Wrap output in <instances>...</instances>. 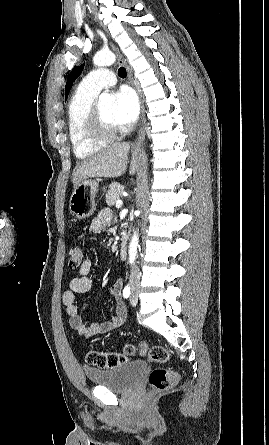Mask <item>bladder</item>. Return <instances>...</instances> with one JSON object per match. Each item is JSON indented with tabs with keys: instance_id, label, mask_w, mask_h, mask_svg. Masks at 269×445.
Wrapping results in <instances>:
<instances>
[{
	"instance_id": "31cf9c89",
	"label": "bladder",
	"mask_w": 269,
	"mask_h": 445,
	"mask_svg": "<svg viewBox=\"0 0 269 445\" xmlns=\"http://www.w3.org/2000/svg\"><path fill=\"white\" fill-rule=\"evenodd\" d=\"M147 368L145 361L134 360L110 369L84 367L83 372L86 380L94 386L104 387L111 391H125L139 382Z\"/></svg>"
}]
</instances>
